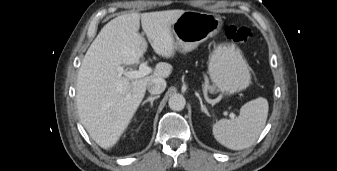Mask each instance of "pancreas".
Instances as JSON below:
<instances>
[{"label":"pancreas","instance_id":"1","mask_svg":"<svg viewBox=\"0 0 337 171\" xmlns=\"http://www.w3.org/2000/svg\"><path fill=\"white\" fill-rule=\"evenodd\" d=\"M205 89H208L210 92H214L215 88L213 86H210L208 82L205 83Z\"/></svg>","mask_w":337,"mask_h":171}]
</instances>
